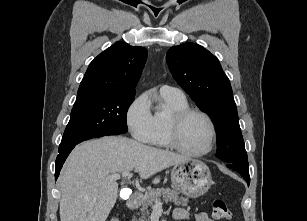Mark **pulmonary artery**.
<instances>
[{
	"label": "pulmonary artery",
	"instance_id": "1",
	"mask_svg": "<svg viewBox=\"0 0 307 221\" xmlns=\"http://www.w3.org/2000/svg\"><path fill=\"white\" fill-rule=\"evenodd\" d=\"M160 92L176 96H184L183 91L181 89L169 85H162L160 88Z\"/></svg>",
	"mask_w": 307,
	"mask_h": 221
}]
</instances>
